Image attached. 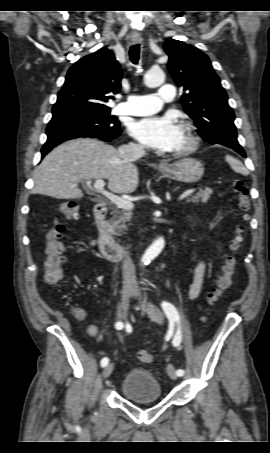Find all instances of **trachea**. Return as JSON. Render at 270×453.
<instances>
[{
  "label": "trachea",
  "instance_id": "obj_1",
  "mask_svg": "<svg viewBox=\"0 0 270 453\" xmlns=\"http://www.w3.org/2000/svg\"><path fill=\"white\" fill-rule=\"evenodd\" d=\"M129 56H130V60L133 64H138L139 56H140V45L139 44H135L130 47Z\"/></svg>",
  "mask_w": 270,
  "mask_h": 453
}]
</instances>
